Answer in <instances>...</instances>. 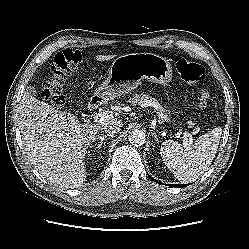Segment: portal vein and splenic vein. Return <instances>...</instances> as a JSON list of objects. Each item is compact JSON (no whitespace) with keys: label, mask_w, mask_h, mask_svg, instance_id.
<instances>
[{"label":"portal vein and splenic vein","mask_w":249,"mask_h":249,"mask_svg":"<svg viewBox=\"0 0 249 249\" xmlns=\"http://www.w3.org/2000/svg\"><path fill=\"white\" fill-rule=\"evenodd\" d=\"M110 118H112V114H110V112L103 111V112H100L94 116V121L102 123V122L109 120ZM183 135H184L183 144L185 147H189L188 137L191 138V135L187 134V133H184Z\"/></svg>","instance_id":"obj_1"}]
</instances>
